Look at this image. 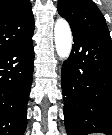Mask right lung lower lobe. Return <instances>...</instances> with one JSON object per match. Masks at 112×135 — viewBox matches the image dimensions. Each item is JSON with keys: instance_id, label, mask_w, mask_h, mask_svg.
I'll return each instance as SVG.
<instances>
[{"instance_id": "right-lung-lower-lobe-1", "label": "right lung lower lobe", "mask_w": 112, "mask_h": 135, "mask_svg": "<svg viewBox=\"0 0 112 135\" xmlns=\"http://www.w3.org/2000/svg\"><path fill=\"white\" fill-rule=\"evenodd\" d=\"M33 33L0 53V135H23L34 70Z\"/></svg>"}]
</instances>
